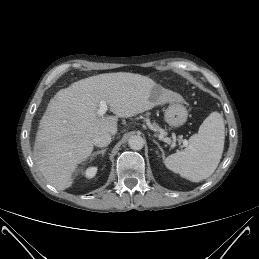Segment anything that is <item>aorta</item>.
<instances>
[{
    "instance_id": "762f6f07",
    "label": "aorta",
    "mask_w": 259,
    "mask_h": 259,
    "mask_svg": "<svg viewBox=\"0 0 259 259\" xmlns=\"http://www.w3.org/2000/svg\"><path fill=\"white\" fill-rule=\"evenodd\" d=\"M128 145L132 150H141L144 146V139L139 135L131 136Z\"/></svg>"
}]
</instances>
